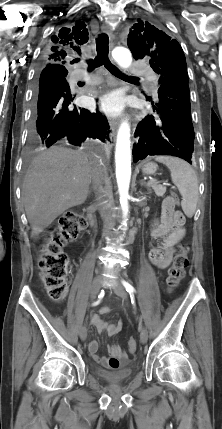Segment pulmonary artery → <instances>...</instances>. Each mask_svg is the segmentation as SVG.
I'll list each match as a JSON object with an SVG mask.
<instances>
[{"mask_svg":"<svg viewBox=\"0 0 222 429\" xmlns=\"http://www.w3.org/2000/svg\"><path fill=\"white\" fill-rule=\"evenodd\" d=\"M83 64L84 63L82 61H80L78 63L79 68L75 72V79H77V80H83L85 78V70L82 69ZM131 73L133 75H143V76H146L149 79L152 88L154 90H156V77H155V75L147 67H145V66H138L137 64H133L132 65ZM87 82L88 83H95V81L89 80V79H87Z\"/></svg>","mask_w":222,"mask_h":429,"instance_id":"pulmonary-artery-1","label":"pulmonary artery"}]
</instances>
